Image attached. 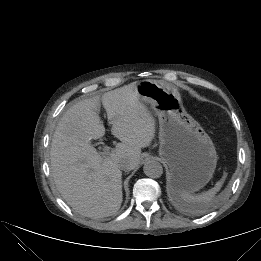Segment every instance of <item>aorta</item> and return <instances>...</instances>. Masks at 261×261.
Returning <instances> with one entry per match:
<instances>
[{
    "instance_id": "762f6f07",
    "label": "aorta",
    "mask_w": 261,
    "mask_h": 261,
    "mask_svg": "<svg viewBox=\"0 0 261 261\" xmlns=\"http://www.w3.org/2000/svg\"><path fill=\"white\" fill-rule=\"evenodd\" d=\"M144 173L150 178H159L163 174L162 165L155 160H150L143 167Z\"/></svg>"
}]
</instances>
